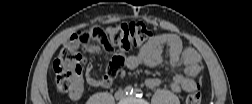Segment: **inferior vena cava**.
Returning a JSON list of instances; mask_svg holds the SVG:
<instances>
[{
  "label": "inferior vena cava",
  "mask_w": 252,
  "mask_h": 104,
  "mask_svg": "<svg viewBox=\"0 0 252 104\" xmlns=\"http://www.w3.org/2000/svg\"><path fill=\"white\" fill-rule=\"evenodd\" d=\"M115 98L117 100H122L123 98H125V93L123 90H119L115 93Z\"/></svg>",
  "instance_id": "1"
}]
</instances>
